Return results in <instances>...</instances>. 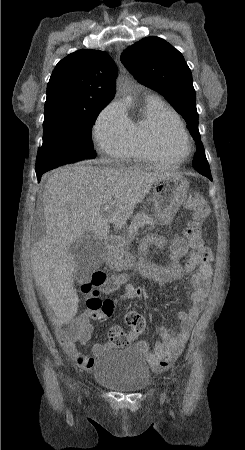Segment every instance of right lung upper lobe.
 <instances>
[{"label": "right lung upper lobe", "mask_w": 245, "mask_h": 450, "mask_svg": "<svg viewBox=\"0 0 245 450\" xmlns=\"http://www.w3.org/2000/svg\"><path fill=\"white\" fill-rule=\"evenodd\" d=\"M117 66L103 51L79 50L62 59L47 85L45 111L53 108L91 110L115 94Z\"/></svg>", "instance_id": "right-lung-upper-lobe-1"}]
</instances>
